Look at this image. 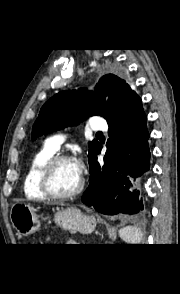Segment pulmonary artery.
Wrapping results in <instances>:
<instances>
[{
    "instance_id": "pulmonary-artery-1",
    "label": "pulmonary artery",
    "mask_w": 180,
    "mask_h": 294,
    "mask_svg": "<svg viewBox=\"0 0 180 294\" xmlns=\"http://www.w3.org/2000/svg\"><path fill=\"white\" fill-rule=\"evenodd\" d=\"M91 129L105 131L108 129V124L104 119H102L100 117H92ZM62 142H63L62 137L53 136V137H50L47 139L46 145L49 148H51L55 151H58L60 149Z\"/></svg>"
}]
</instances>
